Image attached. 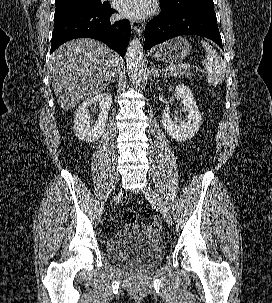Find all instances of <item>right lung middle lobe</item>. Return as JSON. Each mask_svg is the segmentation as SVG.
Here are the masks:
<instances>
[{
  "mask_svg": "<svg viewBox=\"0 0 272 303\" xmlns=\"http://www.w3.org/2000/svg\"><path fill=\"white\" fill-rule=\"evenodd\" d=\"M106 5L101 0H67L56 2L54 19L61 18L82 11H101Z\"/></svg>",
  "mask_w": 272,
  "mask_h": 303,
  "instance_id": "obj_1",
  "label": "right lung middle lobe"
}]
</instances>
